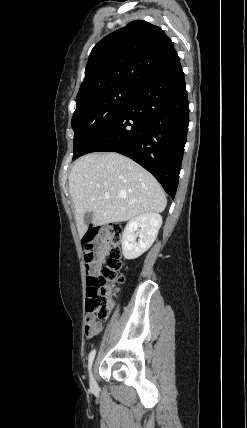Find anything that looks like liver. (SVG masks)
<instances>
[{
	"label": "liver",
	"mask_w": 247,
	"mask_h": 428,
	"mask_svg": "<svg viewBox=\"0 0 247 428\" xmlns=\"http://www.w3.org/2000/svg\"><path fill=\"white\" fill-rule=\"evenodd\" d=\"M69 190L80 236L88 229L87 212L93 214V225L100 226L161 213L167 204L161 185L149 172L114 152L81 157L69 175Z\"/></svg>",
	"instance_id": "1"
}]
</instances>
